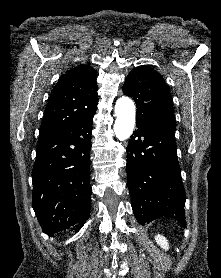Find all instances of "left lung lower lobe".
I'll return each mask as SVG.
<instances>
[{
	"label": "left lung lower lobe",
	"mask_w": 221,
	"mask_h": 278,
	"mask_svg": "<svg viewBox=\"0 0 221 278\" xmlns=\"http://www.w3.org/2000/svg\"><path fill=\"white\" fill-rule=\"evenodd\" d=\"M127 146V185L140 224L160 217L186 227L185 190L177 159L174 123L136 121Z\"/></svg>",
	"instance_id": "obj_1"
}]
</instances>
